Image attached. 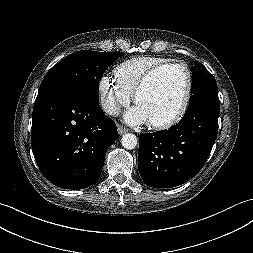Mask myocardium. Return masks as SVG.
Listing matches in <instances>:
<instances>
[{
	"label": "myocardium",
	"instance_id": "1",
	"mask_svg": "<svg viewBox=\"0 0 253 253\" xmlns=\"http://www.w3.org/2000/svg\"><path fill=\"white\" fill-rule=\"evenodd\" d=\"M169 68H180L184 71L186 77L185 93L181 107L176 114L163 121L149 122V126H151L154 129H168L178 124L186 115L191 101L193 90V74L190 67L185 62L182 61H169L167 63L157 65L145 73V75L141 78V80L139 81L133 92L134 103L137 102L139 95L151 83V81L155 78V76L160 72Z\"/></svg>",
	"mask_w": 253,
	"mask_h": 253
}]
</instances>
